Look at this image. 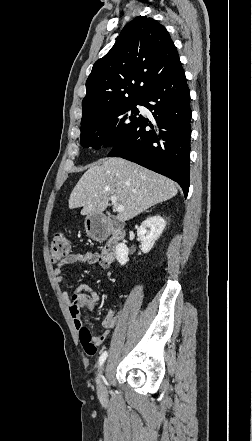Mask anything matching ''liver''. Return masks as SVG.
I'll list each match as a JSON object with an SVG mask.
<instances>
[{"label": "liver", "instance_id": "liver-1", "mask_svg": "<svg viewBox=\"0 0 252 441\" xmlns=\"http://www.w3.org/2000/svg\"><path fill=\"white\" fill-rule=\"evenodd\" d=\"M172 180L122 158H105L90 167L79 179L69 198V208L83 207L81 215L101 214L111 196L124 210L119 221H128L148 208L177 194Z\"/></svg>", "mask_w": 252, "mask_h": 441}]
</instances>
